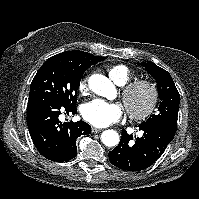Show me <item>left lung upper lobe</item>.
Masks as SVG:
<instances>
[{
    "label": "left lung upper lobe",
    "mask_w": 199,
    "mask_h": 199,
    "mask_svg": "<svg viewBox=\"0 0 199 199\" xmlns=\"http://www.w3.org/2000/svg\"><path fill=\"white\" fill-rule=\"evenodd\" d=\"M157 82L160 105L158 113L153 114L140 125H161L177 130L180 95L170 74L153 62L141 63Z\"/></svg>",
    "instance_id": "1"
}]
</instances>
